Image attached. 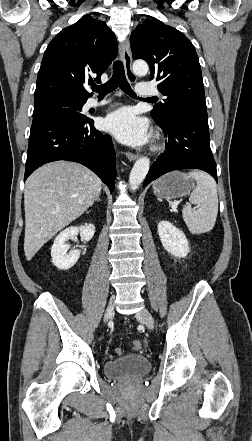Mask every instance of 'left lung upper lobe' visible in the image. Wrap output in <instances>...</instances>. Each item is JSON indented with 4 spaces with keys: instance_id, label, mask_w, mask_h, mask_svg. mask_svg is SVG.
<instances>
[{
    "instance_id": "left-lung-upper-lobe-1",
    "label": "left lung upper lobe",
    "mask_w": 252,
    "mask_h": 441,
    "mask_svg": "<svg viewBox=\"0 0 252 441\" xmlns=\"http://www.w3.org/2000/svg\"><path fill=\"white\" fill-rule=\"evenodd\" d=\"M134 59L150 66V80L166 96L151 111L158 123H168L177 112L192 109L207 115L204 85L197 53L180 31L156 18L143 21L130 37Z\"/></svg>"
}]
</instances>
